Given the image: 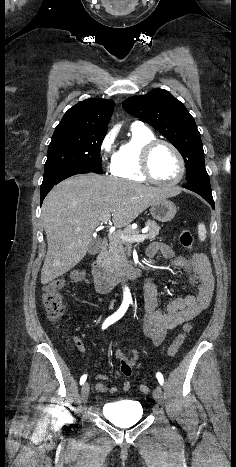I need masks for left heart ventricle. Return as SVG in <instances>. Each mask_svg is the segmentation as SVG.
I'll return each mask as SVG.
<instances>
[{"mask_svg": "<svg viewBox=\"0 0 236 467\" xmlns=\"http://www.w3.org/2000/svg\"><path fill=\"white\" fill-rule=\"evenodd\" d=\"M151 169L157 179L172 181L180 173V164L174 152L167 146L161 145L152 154Z\"/></svg>", "mask_w": 236, "mask_h": 467, "instance_id": "1", "label": "left heart ventricle"}]
</instances>
